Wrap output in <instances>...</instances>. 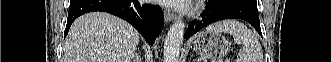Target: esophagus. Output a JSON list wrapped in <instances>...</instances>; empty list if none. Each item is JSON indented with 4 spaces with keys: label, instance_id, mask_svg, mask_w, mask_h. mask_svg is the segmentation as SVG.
<instances>
[{
    "label": "esophagus",
    "instance_id": "1",
    "mask_svg": "<svg viewBox=\"0 0 331 62\" xmlns=\"http://www.w3.org/2000/svg\"><path fill=\"white\" fill-rule=\"evenodd\" d=\"M164 17H165L166 22H171V21L176 19V14H174L170 10L165 9L164 10Z\"/></svg>",
    "mask_w": 331,
    "mask_h": 62
}]
</instances>
